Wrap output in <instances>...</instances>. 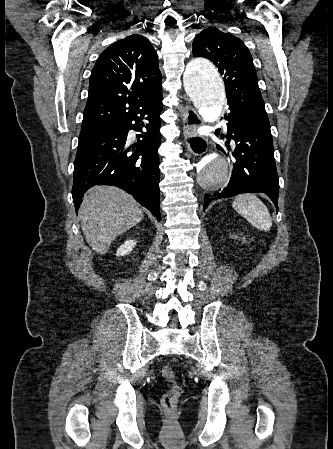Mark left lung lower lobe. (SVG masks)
Listing matches in <instances>:
<instances>
[{
	"label": "left lung lower lobe",
	"mask_w": 333,
	"mask_h": 449,
	"mask_svg": "<svg viewBox=\"0 0 333 449\" xmlns=\"http://www.w3.org/2000/svg\"><path fill=\"white\" fill-rule=\"evenodd\" d=\"M229 109L230 113L225 116L228 121L226 137L236 145L232 154L233 172L227 187L205 195L203 210L212 200L247 192L266 193L277 207L279 179L270 123L248 116L236 107Z\"/></svg>",
	"instance_id": "obj_1"
}]
</instances>
